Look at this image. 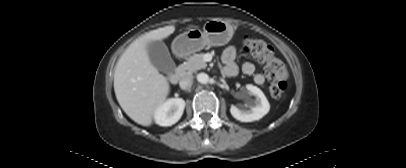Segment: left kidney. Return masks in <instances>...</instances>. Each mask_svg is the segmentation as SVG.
Segmentation results:
<instances>
[{"mask_svg": "<svg viewBox=\"0 0 406 168\" xmlns=\"http://www.w3.org/2000/svg\"><path fill=\"white\" fill-rule=\"evenodd\" d=\"M249 95L255 96L254 100H249V109H239L232 105L230 108L231 115L241 122H252L261 119L270 110V104L264 93L252 84L246 85Z\"/></svg>", "mask_w": 406, "mask_h": 168, "instance_id": "1", "label": "left kidney"}]
</instances>
